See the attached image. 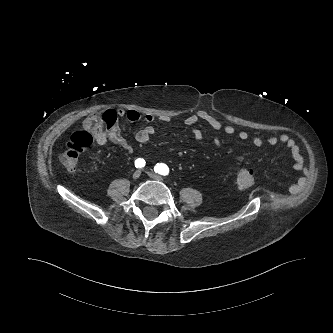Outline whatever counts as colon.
I'll list each match as a JSON object with an SVG mask.
<instances>
[{
  "label": "colon",
  "mask_w": 333,
  "mask_h": 333,
  "mask_svg": "<svg viewBox=\"0 0 333 333\" xmlns=\"http://www.w3.org/2000/svg\"><path fill=\"white\" fill-rule=\"evenodd\" d=\"M118 115L115 110L108 109L89 115L82 123V128L69 139L65 151L61 155L63 165L70 172L79 169L80 155L98 138L112 132L117 126ZM255 173L251 169L243 168L237 172V185L246 189L253 185Z\"/></svg>",
  "instance_id": "colon-1"
}]
</instances>
